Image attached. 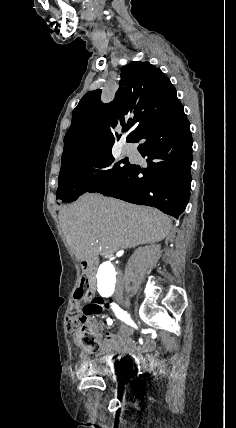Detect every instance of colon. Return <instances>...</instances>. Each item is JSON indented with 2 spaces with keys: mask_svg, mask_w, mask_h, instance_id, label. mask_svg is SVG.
Listing matches in <instances>:
<instances>
[{
  "mask_svg": "<svg viewBox=\"0 0 236 428\" xmlns=\"http://www.w3.org/2000/svg\"><path fill=\"white\" fill-rule=\"evenodd\" d=\"M106 309L100 297L93 296L87 277H82L73 293L71 307L66 317L65 327L72 334V343L86 353L98 351L101 335L98 324L92 319Z\"/></svg>",
  "mask_w": 236,
  "mask_h": 428,
  "instance_id": "1",
  "label": "colon"
}]
</instances>
